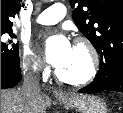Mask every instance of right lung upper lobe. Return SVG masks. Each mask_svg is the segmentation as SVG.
I'll return each instance as SVG.
<instances>
[{
	"label": "right lung upper lobe",
	"instance_id": "right-lung-upper-lobe-1",
	"mask_svg": "<svg viewBox=\"0 0 123 113\" xmlns=\"http://www.w3.org/2000/svg\"><path fill=\"white\" fill-rule=\"evenodd\" d=\"M21 0H1V29L12 28L11 17L21 9Z\"/></svg>",
	"mask_w": 123,
	"mask_h": 113
}]
</instances>
